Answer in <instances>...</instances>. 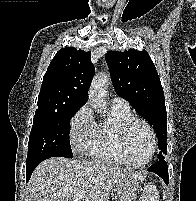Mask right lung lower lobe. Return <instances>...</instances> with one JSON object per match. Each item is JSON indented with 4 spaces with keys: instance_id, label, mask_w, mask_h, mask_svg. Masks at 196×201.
Here are the masks:
<instances>
[{
    "instance_id": "98d812e1",
    "label": "right lung lower lobe",
    "mask_w": 196,
    "mask_h": 201,
    "mask_svg": "<svg viewBox=\"0 0 196 201\" xmlns=\"http://www.w3.org/2000/svg\"><path fill=\"white\" fill-rule=\"evenodd\" d=\"M41 161H37V162H33L31 164H26V179L27 182L31 177V174L33 172V170L36 168V166L40 163Z\"/></svg>"
}]
</instances>
